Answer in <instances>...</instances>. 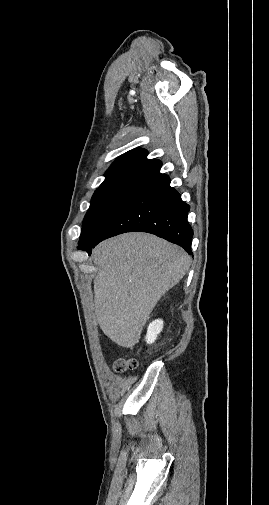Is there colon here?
<instances>
[{
  "mask_svg": "<svg viewBox=\"0 0 269 505\" xmlns=\"http://www.w3.org/2000/svg\"><path fill=\"white\" fill-rule=\"evenodd\" d=\"M137 366V361L131 358H119L113 364V368L117 373H125L129 370H134Z\"/></svg>",
  "mask_w": 269,
  "mask_h": 505,
  "instance_id": "colon-1",
  "label": "colon"
}]
</instances>
